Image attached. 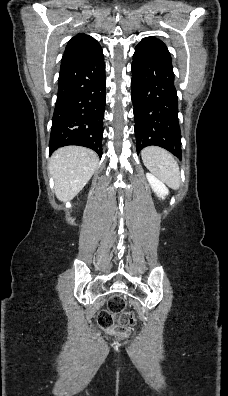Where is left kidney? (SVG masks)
Wrapping results in <instances>:
<instances>
[{
    "instance_id": "5707ae66",
    "label": "left kidney",
    "mask_w": 228,
    "mask_h": 396,
    "mask_svg": "<svg viewBox=\"0 0 228 396\" xmlns=\"http://www.w3.org/2000/svg\"><path fill=\"white\" fill-rule=\"evenodd\" d=\"M146 177H147L148 182L151 185L152 190L157 194L158 197L164 199L165 196L168 195V193H169L165 184L150 173H147Z\"/></svg>"
}]
</instances>
